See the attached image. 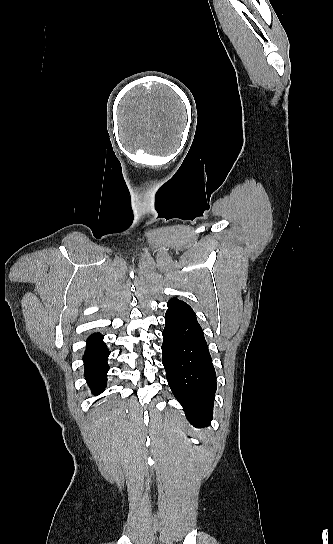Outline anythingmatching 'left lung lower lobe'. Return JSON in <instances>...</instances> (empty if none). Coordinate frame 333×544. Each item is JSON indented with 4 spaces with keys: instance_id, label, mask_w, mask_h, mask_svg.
I'll return each instance as SVG.
<instances>
[{
    "instance_id": "1",
    "label": "left lung lower lobe",
    "mask_w": 333,
    "mask_h": 544,
    "mask_svg": "<svg viewBox=\"0 0 333 544\" xmlns=\"http://www.w3.org/2000/svg\"><path fill=\"white\" fill-rule=\"evenodd\" d=\"M167 305L161 346L167 381L188 421L208 426L217 383L203 330L187 303L174 297Z\"/></svg>"
}]
</instances>
